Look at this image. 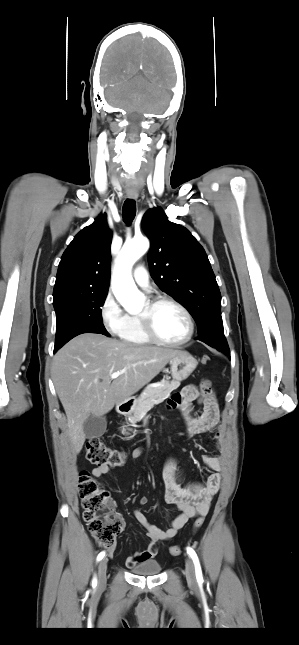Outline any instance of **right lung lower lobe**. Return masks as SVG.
Returning a JSON list of instances; mask_svg holds the SVG:
<instances>
[{
	"label": "right lung lower lobe",
	"instance_id": "1",
	"mask_svg": "<svg viewBox=\"0 0 299 645\" xmlns=\"http://www.w3.org/2000/svg\"><path fill=\"white\" fill-rule=\"evenodd\" d=\"M58 349H59V348H58ZM56 350H57V348H54V351H56Z\"/></svg>",
	"mask_w": 299,
	"mask_h": 645
}]
</instances>
